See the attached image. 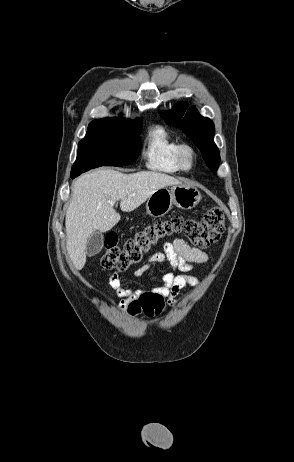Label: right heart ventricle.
I'll return each instance as SVG.
<instances>
[{
	"label": "right heart ventricle",
	"instance_id": "e07e8e85",
	"mask_svg": "<svg viewBox=\"0 0 294 462\" xmlns=\"http://www.w3.org/2000/svg\"><path fill=\"white\" fill-rule=\"evenodd\" d=\"M180 143L163 126L153 127L148 135L143 153L146 166L153 171L173 174L181 171L177 163Z\"/></svg>",
	"mask_w": 294,
	"mask_h": 462
}]
</instances>
